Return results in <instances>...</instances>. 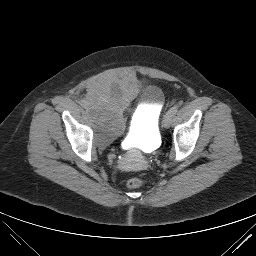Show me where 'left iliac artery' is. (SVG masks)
Returning a JSON list of instances; mask_svg holds the SVG:
<instances>
[{
  "label": "left iliac artery",
  "mask_w": 256,
  "mask_h": 256,
  "mask_svg": "<svg viewBox=\"0 0 256 256\" xmlns=\"http://www.w3.org/2000/svg\"><path fill=\"white\" fill-rule=\"evenodd\" d=\"M178 109H179V106H178V105H174L169 111H170L173 115H175V114L177 113Z\"/></svg>",
  "instance_id": "obj_1"
}]
</instances>
